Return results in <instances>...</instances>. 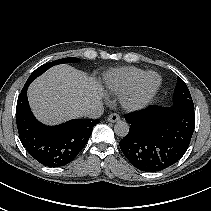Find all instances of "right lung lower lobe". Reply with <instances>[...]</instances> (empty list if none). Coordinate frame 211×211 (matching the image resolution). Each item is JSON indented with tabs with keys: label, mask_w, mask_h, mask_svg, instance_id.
<instances>
[{
	"label": "right lung lower lobe",
	"mask_w": 211,
	"mask_h": 211,
	"mask_svg": "<svg viewBox=\"0 0 211 211\" xmlns=\"http://www.w3.org/2000/svg\"><path fill=\"white\" fill-rule=\"evenodd\" d=\"M27 84L17 100L16 123L20 141L39 163L60 167L70 163L87 144L99 119H73L57 126H46L32 114L27 99Z\"/></svg>",
	"instance_id": "right-lung-lower-lobe-1"
}]
</instances>
